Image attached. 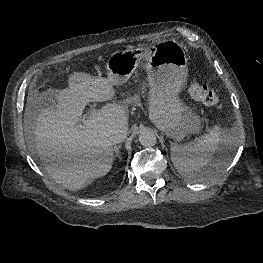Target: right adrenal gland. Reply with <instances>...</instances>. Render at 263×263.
<instances>
[{
  "mask_svg": "<svg viewBox=\"0 0 263 263\" xmlns=\"http://www.w3.org/2000/svg\"><path fill=\"white\" fill-rule=\"evenodd\" d=\"M120 148H121V145H120V144H119V145H114V152H115L114 160H115L116 158L121 159L120 151H119Z\"/></svg>",
  "mask_w": 263,
  "mask_h": 263,
  "instance_id": "right-adrenal-gland-1",
  "label": "right adrenal gland"
}]
</instances>
